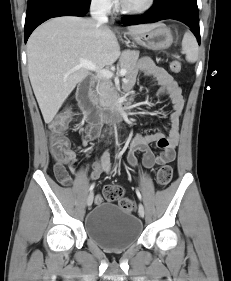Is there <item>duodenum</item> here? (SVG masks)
I'll use <instances>...</instances> for the list:
<instances>
[{
    "label": "duodenum",
    "instance_id": "410a0bca",
    "mask_svg": "<svg viewBox=\"0 0 231 281\" xmlns=\"http://www.w3.org/2000/svg\"><path fill=\"white\" fill-rule=\"evenodd\" d=\"M76 98L86 111L87 121L95 125L119 121L130 104L128 101L117 102L112 104L105 111L93 108L90 99V83L88 81H82L78 85Z\"/></svg>",
    "mask_w": 231,
    "mask_h": 281
}]
</instances>
